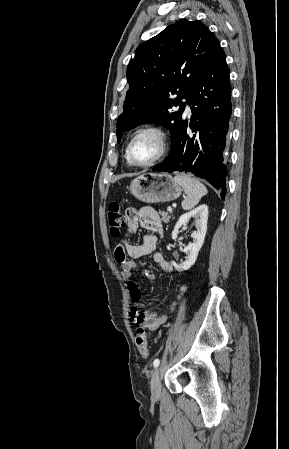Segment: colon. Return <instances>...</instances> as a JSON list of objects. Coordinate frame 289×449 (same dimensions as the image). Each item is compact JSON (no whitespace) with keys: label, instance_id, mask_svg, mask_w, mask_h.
<instances>
[{"label":"colon","instance_id":"obj_1","mask_svg":"<svg viewBox=\"0 0 289 449\" xmlns=\"http://www.w3.org/2000/svg\"><path fill=\"white\" fill-rule=\"evenodd\" d=\"M108 224L110 233L114 237L119 236L125 226V216L116 202L111 203L108 208ZM131 293L134 300L139 297V292L135 286L131 287ZM135 341L140 356L146 358L149 354V347L147 334L142 326H139L137 329Z\"/></svg>","mask_w":289,"mask_h":449}]
</instances>
